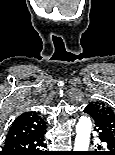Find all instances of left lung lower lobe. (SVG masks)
Masks as SVG:
<instances>
[{
	"label": "left lung lower lobe",
	"mask_w": 115,
	"mask_h": 155,
	"mask_svg": "<svg viewBox=\"0 0 115 155\" xmlns=\"http://www.w3.org/2000/svg\"><path fill=\"white\" fill-rule=\"evenodd\" d=\"M84 112L89 114L93 119L95 123L94 129L98 132L99 138L102 142L106 143L107 149H110L113 147L114 140L111 139L108 130L105 126L104 121L101 119L98 109L94 105H88ZM86 155H93V154H86ZM101 155H115V152L110 153H103Z\"/></svg>",
	"instance_id": "left-lung-lower-lobe-1"
}]
</instances>
